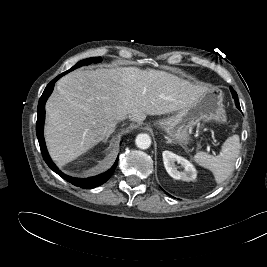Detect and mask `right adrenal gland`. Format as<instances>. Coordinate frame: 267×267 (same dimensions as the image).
Here are the masks:
<instances>
[{
	"label": "right adrenal gland",
	"instance_id": "2a0ac1e0",
	"mask_svg": "<svg viewBox=\"0 0 267 267\" xmlns=\"http://www.w3.org/2000/svg\"><path fill=\"white\" fill-rule=\"evenodd\" d=\"M111 135V134H110ZM110 135H107L106 138L103 140V142H107L108 138L110 137Z\"/></svg>",
	"mask_w": 267,
	"mask_h": 267
}]
</instances>
